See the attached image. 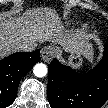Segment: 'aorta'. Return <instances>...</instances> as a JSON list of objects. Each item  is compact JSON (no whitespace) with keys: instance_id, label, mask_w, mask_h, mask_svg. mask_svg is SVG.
I'll list each match as a JSON object with an SVG mask.
<instances>
[{"instance_id":"obj_1","label":"aorta","mask_w":108,"mask_h":108,"mask_svg":"<svg viewBox=\"0 0 108 108\" xmlns=\"http://www.w3.org/2000/svg\"><path fill=\"white\" fill-rule=\"evenodd\" d=\"M33 73L37 77H44L47 74V66L43 63H38L34 66Z\"/></svg>"}]
</instances>
